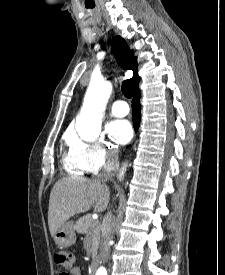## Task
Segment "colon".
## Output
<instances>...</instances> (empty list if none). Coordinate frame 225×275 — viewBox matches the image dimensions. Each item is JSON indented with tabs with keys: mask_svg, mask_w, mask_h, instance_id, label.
Here are the masks:
<instances>
[{
	"mask_svg": "<svg viewBox=\"0 0 225 275\" xmlns=\"http://www.w3.org/2000/svg\"><path fill=\"white\" fill-rule=\"evenodd\" d=\"M54 261L57 265L70 269L73 267L75 256L68 251H58L54 255ZM59 275H67V272H61Z\"/></svg>",
	"mask_w": 225,
	"mask_h": 275,
	"instance_id": "1",
	"label": "colon"
}]
</instances>
